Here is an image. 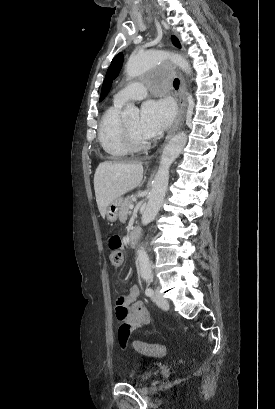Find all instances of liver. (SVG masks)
Listing matches in <instances>:
<instances>
[{"mask_svg": "<svg viewBox=\"0 0 275 409\" xmlns=\"http://www.w3.org/2000/svg\"><path fill=\"white\" fill-rule=\"evenodd\" d=\"M143 178L141 162H100L94 174V188L101 217L105 219L111 200L119 198L140 184Z\"/></svg>", "mask_w": 275, "mask_h": 409, "instance_id": "liver-1", "label": "liver"}]
</instances>
